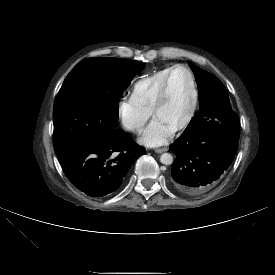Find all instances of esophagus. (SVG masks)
<instances>
[{
    "mask_svg": "<svg viewBox=\"0 0 275 275\" xmlns=\"http://www.w3.org/2000/svg\"><path fill=\"white\" fill-rule=\"evenodd\" d=\"M168 149L166 148V147H164V148H158V149H155V152L156 153H163V152H165V151H167Z\"/></svg>",
    "mask_w": 275,
    "mask_h": 275,
    "instance_id": "esophagus-1",
    "label": "esophagus"
}]
</instances>
